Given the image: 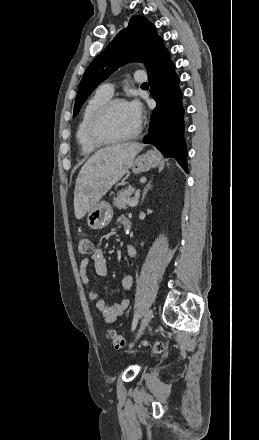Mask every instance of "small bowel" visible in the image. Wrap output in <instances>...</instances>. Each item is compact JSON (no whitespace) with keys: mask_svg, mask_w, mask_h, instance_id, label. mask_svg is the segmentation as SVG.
Masks as SVG:
<instances>
[{"mask_svg":"<svg viewBox=\"0 0 259 440\" xmlns=\"http://www.w3.org/2000/svg\"><path fill=\"white\" fill-rule=\"evenodd\" d=\"M128 221L129 219L126 216H120L118 218V223L121 224L123 227H125ZM125 251L127 257L131 259L135 258L137 255L136 248L133 245H127ZM90 265L93 266L98 276L104 277L107 275L108 267L102 249H95L90 259L85 258L80 262L79 275L82 284L85 287L89 286L88 269ZM132 285L133 277L131 275H125L121 281V286L123 290H130ZM88 296L89 299L95 303L96 310L103 315L104 321L106 323L114 322L118 317L122 316L125 313L130 305L129 300L125 299L120 303L108 306L105 301L99 297V294L97 293V290L95 288H91L89 290Z\"/></svg>","mask_w":259,"mask_h":440,"instance_id":"c3829d8e","label":"small bowel"}]
</instances>
